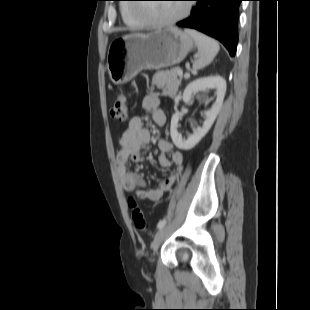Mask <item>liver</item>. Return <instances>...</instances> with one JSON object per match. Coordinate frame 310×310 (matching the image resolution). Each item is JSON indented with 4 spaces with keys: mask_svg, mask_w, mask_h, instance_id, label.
Here are the masks:
<instances>
[{
    "mask_svg": "<svg viewBox=\"0 0 310 310\" xmlns=\"http://www.w3.org/2000/svg\"><path fill=\"white\" fill-rule=\"evenodd\" d=\"M134 35H141V34H130V35H127V36H134Z\"/></svg>",
    "mask_w": 310,
    "mask_h": 310,
    "instance_id": "1",
    "label": "liver"
}]
</instances>
